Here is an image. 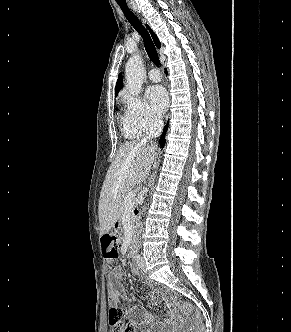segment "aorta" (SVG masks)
Instances as JSON below:
<instances>
[{
	"label": "aorta",
	"instance_id": "aorta-1",
	"mask_svg": "<svg viewBox=\"0 0 291 332\" xmlns=\"http://www.w3.org/2000/svg\"><path fill=\"white\" fill-rule=\"evenodd\" d=\"M144 76L142 57L138 54L132 55L125 66L126 88L132 95L140 94ZM145 209L146 206L144 205L143 212Z\"/></svg>",
	"mask_w": 291,
	"mask_h": 332
}]
</instances>
